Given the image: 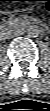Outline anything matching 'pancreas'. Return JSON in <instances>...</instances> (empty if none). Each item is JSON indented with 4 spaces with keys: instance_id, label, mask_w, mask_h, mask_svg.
<instances>
[{
    "instance_id": "pancreas-1",
    "label": "pancreas",
    "mask_w": 50,
    "mask_h": 111,
    "mask_svg": "<svg viewBox=\"0 0 50 111\" xmlns=\"http://www.w3.org/2000/svg\"><path fill=\"white\" fill-rule=\"evenodd\" d=\"M15 24H16L15 20L11 19V20L7 21V22L3 25V27H4V28H5V27H11V26H14Z\"/></svg>"
}]
</instances>
